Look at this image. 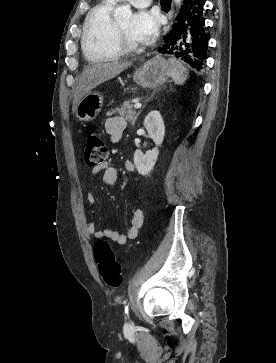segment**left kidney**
<instances>
[{
    "label": "left kidney",
    "mask_w": 276,
    "mask_h": 363,
    "mask_svg": "<svg viewBox=\"0 0 276 363\" xmlns=\"http://www.w3.org/2000/svg\"><path fill=\"white\" fill-rule=\"evenodd\" d=\"M144 127L146 128L149 137L154 141L156 147L152 150L143 153L141 150L134 152V164L139 174L148 175L157 161L160 146L165 135V125L159 111L154 110L148 113L144 119Z\"/></svg>",
    "instance_id": "5707ae66"
}]
</instances>
